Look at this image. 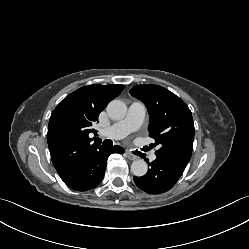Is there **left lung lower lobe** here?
Listing matches in <instances>:
<instances>
[{
  "instance_id": "0a47b994",
  "label": "left lung lower lobe",
  "mask_w": 249,
  "mask_h": 249,
  "mask_svg": "<svg viewBox=\"0 0 249 249\" xmlns=\"http://www.w3.org/2000/svg\"><path fill=\"white\" fill-rule=\"evenodd\" d=\"M150 169L142 177H134V182L143 191L150 194L164 193L178 181L186 166L157 157L149 163Z\"/></svg>"
}]
</instances>
